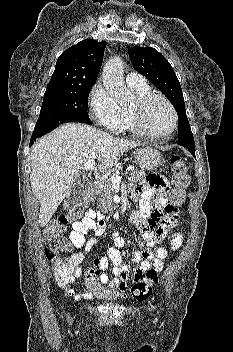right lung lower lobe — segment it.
Instances as JSON below:
<instances>
[{"label": "right lung lower lobe", "instance_id": "98d812e1", "mask_svg": "<svg viewBox=\"0 0 233 352\" xmlns=\"http://www.w3.org/2000/svg\"><path fill=\"white\" fill-rule=\"evenodd\" d=\"M67 122H81V123H87V124H92V122L90 120H87V119H80V118H74V119H68V120H65V121H60V122H57V123H54V124H51V125H48V126H44V127H40V128H36L34 130V132L32 133V136H31V141H30V146L34 143V141L49 133L50 131L54 130L55 128H57L60 124H63V123H67Z\"/></svg>", "mask_w": 233, "mask_h": 352}]
</instances>
